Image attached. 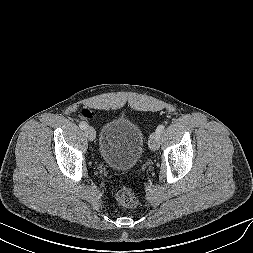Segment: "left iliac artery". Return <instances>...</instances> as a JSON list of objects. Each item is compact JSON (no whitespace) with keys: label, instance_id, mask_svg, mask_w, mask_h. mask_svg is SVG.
Masks as SVG:
<instances>
[{"label":"left iliac artery","instance_id":"obj_1","mask_svg":"<svg viewBox=\"0 0 253 253\" xmlns=\"http://www.w3.org/2000/svg\"><path fill=\"white\" fill-rule=\"evenodd\" d=\"M164 129H165V126L163 124H161L157 127L156 132L161 135L163 133Z\"/></svg>","mask_w":253,"mask_h":253}]
</instances>
